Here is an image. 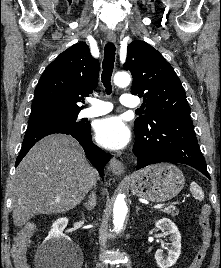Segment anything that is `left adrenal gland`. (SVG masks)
Returning a JSON list of instances; mask_svg holds the SVG:
<instances>
[{"label":"left adrenal gland","mask_w":221,"mask_h":268,"mask_svg":"<svg viewBox=\"0 0 221 268\" xmlns=\"http://www.w3.org/2000/svg\"><path fill=\"white\" fill-rule=\"evenodd\" d=\"M140 209L141 208L138 205H136V214H138V212H139Z\"/></svg>","instance_id":"1"}]
</instances>
